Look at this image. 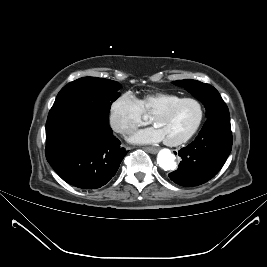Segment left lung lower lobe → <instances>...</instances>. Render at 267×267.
<instances>
[{
  "label": "left lung lower lobe",
  "instance_id": "obj_1",
  "mask_svg": "<svg viewBox=\"0 0 267 267\" xmlns=\"http://www.w3.org/2000/svg\"><path fill=\"white\" fill-rule=\"evenodd\" d=\"M231 148L230 116L208 118L196 139L178 152L182 161L168 176L185 187L206 183L220 171Z\"/></svg>",
  "mask_w": 267,
  "mask_h": 267
}]
</instances>
